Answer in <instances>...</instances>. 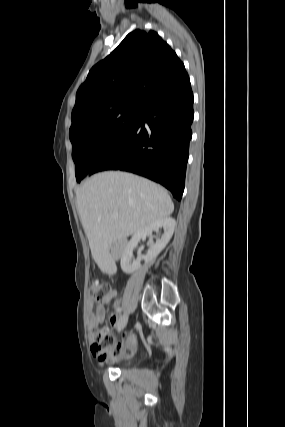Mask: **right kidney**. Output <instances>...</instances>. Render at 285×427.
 <instances>
[{
	"mask_svg": "<svg viewBox=\"0 0 285 427\" xmlns=\"http://www.w3.org/2000/svg\"><path fill=\"white\" fill-rule=\"evenodd\" d=\"M176 222L171 217H166L160 221L154 222L143 230L135 233L131 240L128 242L121 256V268L126 274H131L141 267V260L145 261V265H149L158 254L165 248L169 240L171 239ZM160 228H163L164 233L156 243H153L152 238L148 242L149 250L147 254L139 256L137 260L132 261L133 249L138 245L141 239L146 237H152V232H158Z\"/></svg>",
	"mask_w": 285,
	"mask_h": 427,
	"instance_id": "ca27d5eb",
	"label": "right kidney"
}]
</instances>
